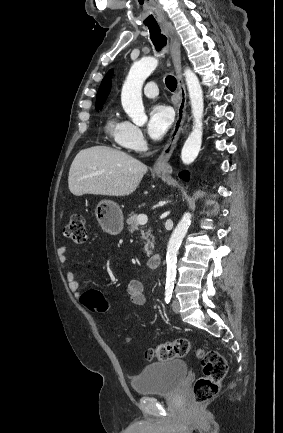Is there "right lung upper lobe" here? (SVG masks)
Wrapping results in <instances>:
<instances>
[{"label": "right lung upper lobe", "mask_w": 283, "mask_h": 433, "mask_svg": "<svg viewBox=\"0 0 283 433\" xmlns=\"http://www.w3.org/2000/svg\"><path fill=\"white\" fill-rule=\"evenodd\" d=\"M111 76H112V70H110L104 79L102 80V83L99 87L98 93H97V100H96V109L99 107H102L111 88Z\"/></svg>", "instance_id": "obj_1"}]
</instances>
